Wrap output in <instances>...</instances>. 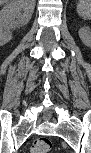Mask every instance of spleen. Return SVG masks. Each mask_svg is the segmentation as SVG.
Here are the masks:
<instances>
[{
	"label": "spleen",
	"instance_id": "3e777b00",
	"mask_svg": "<svg viewBox=\"0 0 91 153\" xmlns=\"http://www.w3.org/2000/svg\"><path fill=\"white\" fill-rule=\"evenodd\" d=\"M77 13L84 19H90L91 3L90 0H80L77 4Z\"/></svg>",
	"mask_w": 91,
	"mask_h": 153
}]
</instances>
